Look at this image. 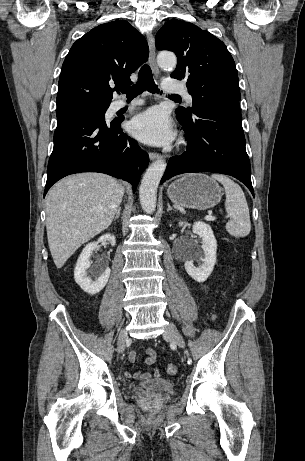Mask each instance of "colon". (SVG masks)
Listing matches in <instances>:
<instances>
[{"mask_svg":"<svg viewBox=\"0 0 305 461\" xmlns=\"http://www.w3.org/2000/svg\"><path fill=\"white\" fill-rule=\"evenodd\" d=\"M177 366L173 363H170L166 366V372L169 374V375H176L177 374Z\"/></svg>","mask_w":305,"mask_h":461,"instance_id":"colon-1","label":"colon"}]
</instances>
